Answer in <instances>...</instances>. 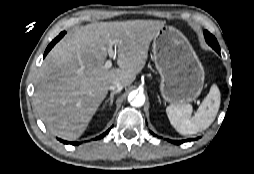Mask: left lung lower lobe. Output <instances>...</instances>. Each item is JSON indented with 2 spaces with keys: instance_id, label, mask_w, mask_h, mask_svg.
<instances>
[{
  "instance_id": "0a47b994",
  "label": "left lung lower lobe",
  "mask_w": 254,
  "mask_h": 174,
  "mask_svg": "<svg viewBox=\"0 0 254 174\" xmlns=\"http://www.w3.org/2000/svg\"><path fill=\"white\" fill-rule=\"evenodd\" d=\"M216 52L220 54V50H218V51H216ZM192 140H196V139H192ZM187 141H189V140H181V141H174V140H171L170 142L179 145V144H181V143H183V142H187Z\"/></svg>"
}]
</instances>
